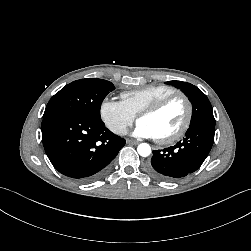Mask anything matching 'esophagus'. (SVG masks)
<instances>
[{"instance_id":"obj_1","label":"esophagus","mask_w":251,"mask_h":251,"mask_svg":"<svg viewBox=\"0 0 251 251\" xmlns=\"http://www.w3.org/2000/svg\"><path fill=\"white\" fill-rule=\"evenodd\" d=\"M127 143L130 144V145H137V144H139L138 141H136V140H130V139L127 140Z\"/></svg>"}]
</instances>
